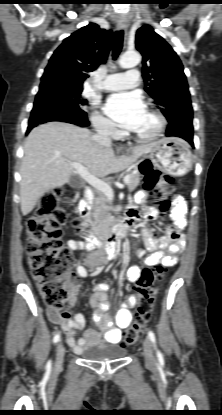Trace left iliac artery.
I'll return each mask as SVG.
<instances>
[{"label":"left iliac artery","mask_w":222,"mask_h":415,"mask_svg":"<svg viewBox=\"0 0 222 415\" xmlns=\"http://www.w3.org/2000/svg\"><path fill=\"white\" fill-rule=\"evenodd\" d=\"M148 336H149L150 340L153 342V344L155 346V343H156L155 334L152 331H149ZM158 354H159V352H158Z\"/></svg>","instance_id":"obj_1"}]
</instances>
